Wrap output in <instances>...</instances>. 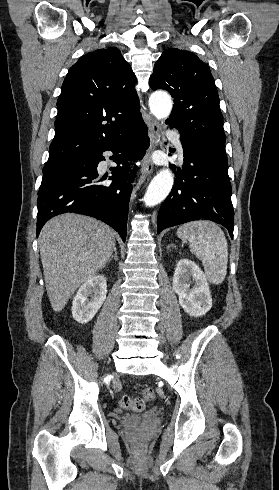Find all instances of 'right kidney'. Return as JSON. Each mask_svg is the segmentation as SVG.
<instances>
[{"mask_svg":"<svg viewBox=\"0 0 279 490\" xmlns=\"http://www.w3.org/2000/svg\"><path fill=\"white\" fill-rule=\"evenodd\" d=\"M107 296L106 278L103 274H95L80 286L72 302V316L79 324H87L101 306ZM91 298V300H88Z\"/></svg>","mask_w":279,"mask_h":490,"instance_id":"obj_1","label":"right kidney"}]
</instances>
